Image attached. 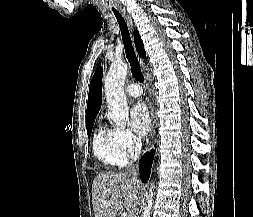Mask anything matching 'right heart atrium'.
I'll use <instances>...</instances> for the list:
<instances>
[{
  "label": "right heart atrium",
  "mask_w": 253,
  "mask_h": 217,
  "mask_svg": "<svg viewBox=\"0 0 253 217\" xmlns=\"http://www.w3.org/2000/svg\"><path fill=\"white\" fill-rule=\"evenodd\" d=\"M115 139L128 157H134L140 149L139 139L128 129H114Z\"/></svg>",
  "instance_id": "1"
}]
</instances>
